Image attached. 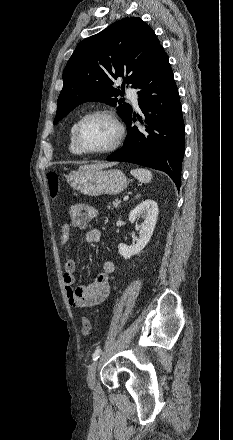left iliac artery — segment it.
Listing matches in <instances>:
<instances>
[{
  "label": "left iliac artery",
  "instance_id": "44dca946",
  "mask_svg": "<svg viewBox=\"0 0 233 440\" xmlns=\"http://www.w3.org/2000/svg\"><path fill=\"white\" fill-rule=\"evenodd\" d=\"M101 351H102L101 349L95 350V352L92 355V358H93L94 361L97 360L100 357Z\"/></svg>",
  "mask_w": 233,
  "mask_h": 440
}]
</instances>
